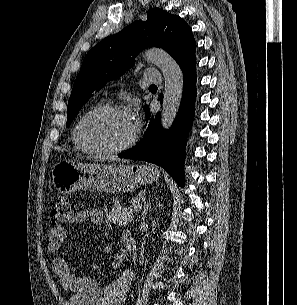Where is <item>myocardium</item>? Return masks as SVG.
Here are the masks:
<instances>
[{
  "label": "myocardium",
  "instance_id": "f54148a6",
  "mask_svg": "<svg viewBox=\"0 0 297 305\" xmlns=\"http://www.w3.org/2000/svg\"><path fill=\"white\" fill-rule=\"evenodd\" d=\"M105 113H119V114H126L129 115V112L124 109L121 106L118 105H100L98 107H95L85 113L78 123L76 124V137L79 142V144L88 152L96 153V154H103V155H114L122 153L128 149H130L137 141L139 129L138 126L134 123V129L130 136V138L122 145L113 147V148H104L99 147L96 145H93L89 143L84 134H83V126L87 120L92 118L93 116L99 115V114H105ZM130 116V115H129Z\"/></svg>",
  "mask_w": 297,
  "mask_h": 305
}]
</instances>
